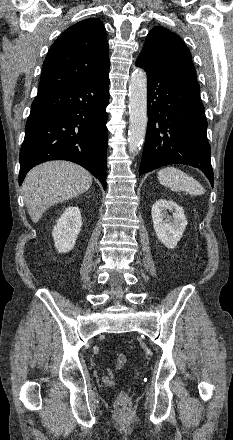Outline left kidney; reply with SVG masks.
<instances>
[{
    "instance_id": "left-kidney-1",
    "label": "left kidney",
    "mask_w": 233,
    "mask_h": 440,
    "mask_svg": "<svg viewBox=\"0 0 233 440\" xmlns=\"http://www.w3.org/2000/svg\"><path fill=\"white\" fill-rule=\"evenodd\" d=\"M167 211L172 213L169 216ZM155 233L167 248H175L183 236L187 220L182 207L171 200L159 199L152 206Z\"/></svg>"
}]
</instances>
